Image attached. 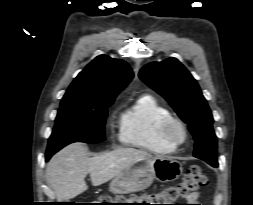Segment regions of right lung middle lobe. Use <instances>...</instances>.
Segmentation results:
<instances>
[{
	"instance_id": "right-lung-middle-lobe-1",
	"label": "right lung middle lobe",
	"mask_w": 253,
	"mask_h": 205,
	"mask_svg": "<svg viewBox=\"0 0 253 205\" xmlns=\"http://www.w3.org/2000/svg\"><path fill=\"white\" fill-rule=\"evenodd\" d=\"M109 99L95 105L61 104L47 152H57L72 142L99 143L105 140L104 125Z\"/></svg>"
}]
</instances>
